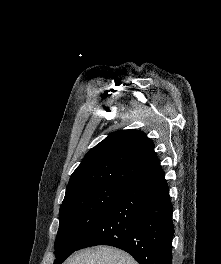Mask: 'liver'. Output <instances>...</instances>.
Here are the masks:
<instances>
[{
    "label": "liver",
    "instance_id": "liver-1",
    "mask_svg": "<svg viewBox=\"0 0 221 264\" xmlns=\"http://www.w3.org/2000/svg\"><path fill=\"white\" fill-rule=\"evenodd\" d=\"M64 264H138L128 253L108 246L75 253Z\"/></svg>",
    "mask_w": 221,
    "mask_h": 264
}]
</instances>
